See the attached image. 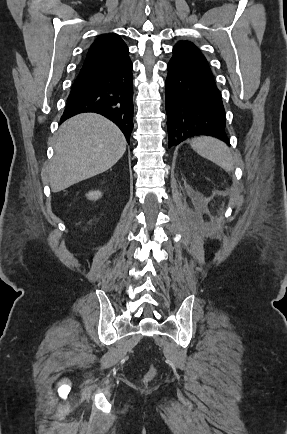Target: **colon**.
Masks as SVG:
<instances>
[{
	"instance_id": "obj_1",
	"label": "colon",
	"mask_w": 287,
	"mask_h": 434,
	"mask_svg": "<svg viewBox=\"0 0 287 434\" xmlns=\"http://www.w3.org/2000/svg\"><path fill=\"white\" fill-rule=\"evenodd\" d=\"M155 374H156V369L154 366H151L149 371L144 376V381L146 382L150 381L151 379L154 378Z\"/></svg>"
}]
</instances>
